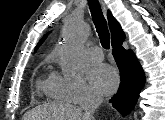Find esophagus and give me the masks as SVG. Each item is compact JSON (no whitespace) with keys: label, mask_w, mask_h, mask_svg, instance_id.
Returning a JSON list of instances; mask_svg holds the SVG:
<instances>
[{"label":"esophagus","mask_w":165,"mask_h":120,"mask_svg":"<svg viewBox=\"0 0 165 120\" xmlns=\"http://www.w3.org/2000/svg\"><path fill=\"white\" fill-rule=\"evenodd\" d=\"M102 5H103V9H104V10H106V9H105V6H104V4H103V3H102Z\"/></svg>","instance_id":"esophagus-1"}]
</instances>
